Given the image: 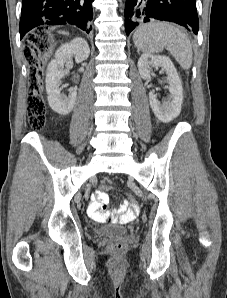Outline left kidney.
Here are the masks:
<instances>
[{
  "label": "left kidney",
  "instance_id": "5707ae66",
  "mask_svg": "<svg viewBox=\"0 0 227 298\" xmlns=\"http://www.w3.org/2000/svg\"><path fill=\"white\" fill-rule=\"evenodd\" d=\"M152 67H162L168 76L170 100L158 101L154 91L149 93V102L155 116L162 122H170L181 112L183 102V87L177 70L169 57L144 53L138 61L140 76L149 81Z\"/></svg>",
  "mask_w": 227,
  "mask_h": 298
}]
</instances>
